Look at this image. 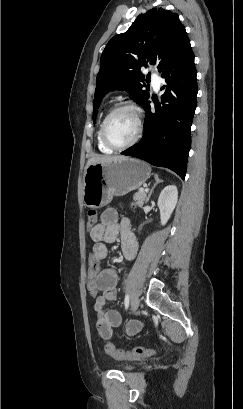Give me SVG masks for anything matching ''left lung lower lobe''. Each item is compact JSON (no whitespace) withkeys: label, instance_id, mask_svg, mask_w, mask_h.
Returning <instances> with one entry per match:
<instances>
[{"label":"left lung lower lobe","instance_id":"1","mask_svg":"<svg viewBox=\"0 0 243 409\" xmlns=\"http://www.w3.org/2000/svg\"><path fill=\"white\" fill-rule=\"evenodd\" d=\"M196 74L188 40L162 72L166 85L162 87L161 103L154 111L149 99L143 106L146 118L142 139L121 154L169 168L185 178L198 92Z\"/></svg>","mask_w":243,"mask_h":409}]
</instances>
